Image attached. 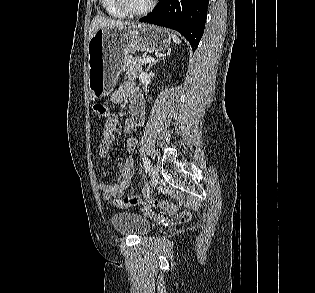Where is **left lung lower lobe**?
Instances as JSON below:
<instances>
[{"mask_svg":"<svg viewBox=\"0 0 315 293\" xmlns=\"http://www.w3.org/2000/svg\"><path fill=\"white\" fill-rule=\"evenodd\" d=\"M208 2L209 0H159L154 10L139 21L177 30L195 51L204 32Z\"/></svg>","mask_w":315,"mask_h":293,"instance_id":"left-lung-lower-lobe-1","label":"left lung lower lobe"}]
</instances>
